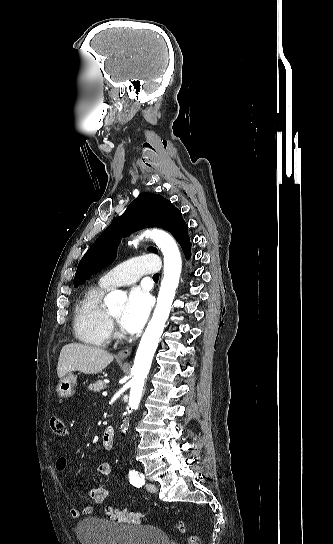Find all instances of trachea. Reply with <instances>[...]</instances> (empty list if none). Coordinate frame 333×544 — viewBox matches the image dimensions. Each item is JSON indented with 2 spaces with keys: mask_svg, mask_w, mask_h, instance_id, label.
<instances>
[{
  "mask_svg": "<svg viewBox=\"0 0 333 544\" xmlns=\"http://www.w3.org/2000/svg\"><path fill=\"white\" fill-rule=\"evenodd\" d=\"M153 278L158 279V278H159V274H158V273L155 274Z\"/></svg>",
  "mask_w": 333,
  "mask_h": 544,
  "instance_id": "3493384b",
  "label": "trachea"
}]
</instances>
